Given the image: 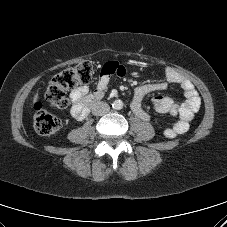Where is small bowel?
Masks as SVG:
<instances>
[{
  "label": "small bowel",
  "instance_id": "1",
  "mask_svg": "<svg viewBox=\"0 0 227 227\" xmlns=\"http://www.w3.org/2000/svg\"><path fill=\"white\" fill-rule=\"evenodd\" d=\"M125 73L123 66L117 62H108L102 67L101 75L93 94H90L87 86L75 88L70 98L73 103L71 115L82 120L88 113L87 103L92 97H101L109 87L111 81L115 77H121ZM169 84H177L184 93L185 100L181 103L175 102L172 98L157 95L153 98L155 110L158 113H169L177 117V120L170 128L164 130V136L168 139H174L179 135L186 133L189 129L190 122L194 118V114L199 110L201 99L193 83L178 73L171 67L165 68V81L159 83L145 84L137 87L134 91L131 102L133 113L140 119L147 121L150 115L143 108L144 98L154 92L165 90Z\"/></svg>",
  "mask_w": 227,
  "mask_h": 227
}]
</instances>
